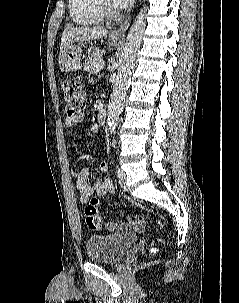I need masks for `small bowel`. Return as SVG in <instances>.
<instances>
[{"mask_svg":"<svg viewBox=\"0 0 239 303\" xmlns=\"http://www.w3.org/2000/svg\"><path fill=\"white\" fill-rule=\"evenodd\" d=\"M84 117L79 115L77 117H67L65 119V125L67 127H72L80 122H82ZM99 171L105 175V178L95 184H90L88 182L89 170L87 168H81L74 170L72 172L75 178L76 188L80 192V201L82 203H87L93 194L105 195L113 191V184L108 177V165L105 161H102L98 165ZM109 226L116 229L119 232H126L130 229H140L144 226V221L140 216H133L124 222H110Z\"/></svg>","mask_w":239,"mask_h":303,"instance_id":"obj_1","label":"small bowel"}]
</instances>
